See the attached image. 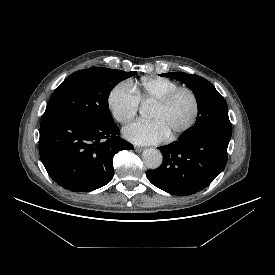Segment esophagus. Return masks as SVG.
<instances>
[{
  "label": "esophagus",
  "mask_w": 275,
  "mask_h": 275,
  "mask_svg": "<svg viewBox=\"0 0 275 275\" xmlns=\"http://www.w3.org/2000/svg\"><path fill=\"white\" fill-rule=\"evenodd\" d=\"M134 149H135V151L138 152V153H140V152H142V151L144 150V148L139 147V146H135Z\"/></svg>",
  "instance_id": "34e87169"
}]
</instances>
